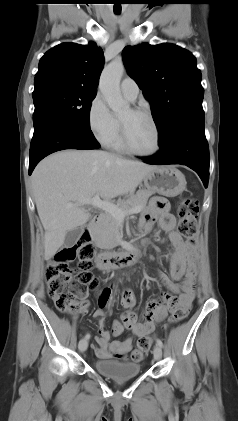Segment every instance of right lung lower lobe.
<instances>
[{"label":"right lung lower lobe","instance_id":"obj_1","mask_svg":"<svg viewBox=\"0 0 238 421\" xmlns=\"http://www.w3.org/2000/svg\"><path fill=\"white\" fill-rule=\"evenodd\" d=\"M99 147L94 135L86 134L57 116L44 115L34 125L29 154V175L40 160L53 152Z\"/></svg>","mask_w":238,"mask_h":421}]
</instances>
